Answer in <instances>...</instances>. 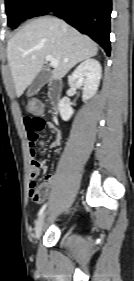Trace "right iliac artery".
<instances>
[{
  "label": "right iliac artery",
  "instance_id": "obj_1",
  "mask_svg": "<svg viewBox=\"0 0 134 281\" xmlns=\"http://www.w3.org/2000/svg\"><path fill=\"white\" fill-rule=\"evenodd\" d=\"M47 204H44L42 206V208L40 209L39 213H38V216L40 217L42 215V213L44 212L45 208H46Z\"/></svg>",
  "mask_w": 134,
  "mask_h": 281
}]
</instances>
